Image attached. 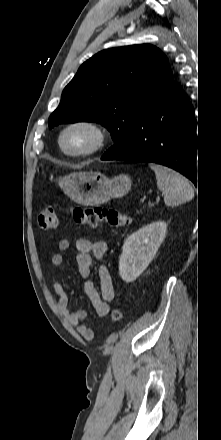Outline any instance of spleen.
<instances>
[{
    "instance_id": "obj_1",
    "label": "spleen",
    "mask_w": 221,
    "mask_h": 440,
    "mask_svg": "<svg viewBox=\"0 0 221 440\" xmlns=\"http://www.w3.org/2000/svg\"><path fill=\"white\" fill-rule=\"evenodd\" d=\"M149 166L155 172L157 187L165 193L164 203L167 206H177L194 197L191 184L181 174L162 165Z\"/></svg>"
}]
</instances>
